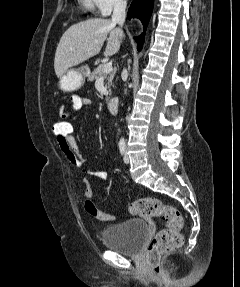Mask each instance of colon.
I'll use <instances>...</instances> for the list:
<instances>
[{"label":"colon","mask_w":240,"mask_h":287,"mask_svg":"<svg viewBox=\"0 0 240 287\" xmlns=\"http://www.w3.org/2000/svg\"><path fill=\"white\" fill-rule=\"evenodd\" d=\"M73 126L67 119L60 118L54 122L52 131L59 141H66L72 134ZM85 188V210L101 222L115 220V216L101 212L93 200V191L86 178L82 179ZM129 212L132 215L142 217H161L165 227L157 232L151 240L145 255V261L151 268L158 270L161 259L181 246L183 237L181 231L184 226V219L175 207L165 205L159 199L153 197L141 198L129 204Z\"/></svg>","instance_id":"1"}]
</instances>
